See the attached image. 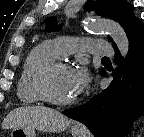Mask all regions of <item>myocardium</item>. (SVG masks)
<instances>
[{
    "label": "myocardium",
    "instance_id": "myocardium-1",
    "mask_svg": "<svg viewBox=\"0 0 144 137\" xmlns=\"http://www.w3.org/2000/svg\"><path fill=\"white\" fill-rule=\"evenodd\" d=\"M59 68L71 70V66L68 63L59 60H53L40 67L34 76V89L39 98L46 103L57 106L72 105L76 102L75 97L69 99H58L54 97L49 90V78L51 74Z\"/></svg>",
    "mask_w": 144,
    "mask_h": 137
}]
</instances>
